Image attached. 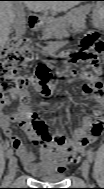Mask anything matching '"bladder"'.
Masks as SVG:
<instances>
[{
	"label": "bladder",
	"mask_w": 104,
	"mask_h": 189,
	"mask_svg": "<svg viewBox=\"0 0 104 189\" xmlns=\"http://www.w3.org/2000/svg\"><path fill=\"white\" fill-rule=\"evenodd\" d=\"M39 177V179L43 182H59L64 178V172H61L59 170L55 171H43L39 175H36Z\"/></svg>",
	"instance_id": "bladder-1"
}]
</instances>
